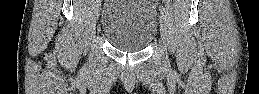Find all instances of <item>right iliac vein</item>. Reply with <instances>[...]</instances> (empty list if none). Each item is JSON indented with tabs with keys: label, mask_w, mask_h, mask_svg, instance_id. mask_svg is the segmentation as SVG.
Listing matches in <instances>:
<instances>
[{
	"label": "right iliac vein",
	"mask_w": 259,
	"mask_h": 94,
	"mask_svg": "<svg viewBox=\"0 0 259 94\" xmlns=\"http://www.w3.org/2000/svg\"><path fill=\"white\" fill-rule=\"evenodd\" d=\"M99 12H100V4L97 3V4L95 5V20H96V21L98 20Z\"/></svg>",
	"instance_id": "right-iliac-vein-1"
}]
</instances>
